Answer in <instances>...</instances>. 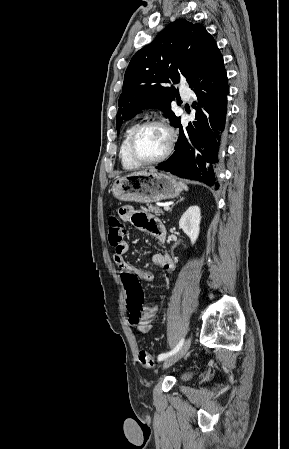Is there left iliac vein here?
<instances>
[{"label": "left iliac vein", "mask_w": 289, "mask_h": 449, "mask_svg": "<svg viewBox=\"0 0 289 449\" xmlns=\"http://www.w3.org/2000/svg\"><path fill=\"white\" fill-rule=\"evenodd\" d=\"M191 345V338H188L185 343L182 345V347L172 356L166 358L163 362V369H166L173 364H175L177 361H179L189 350Z\"/></svg>", "instance_id": "4c4485c4"}]
</instances>
